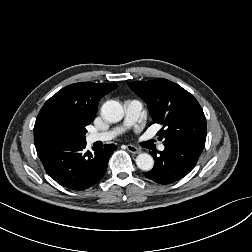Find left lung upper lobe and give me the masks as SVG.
<instances>
[{"label":"left lung upper lobe","instance_id":"1","mask_svg":"<svg viewBox=\"0 0 252 252\" xmlns=\"http://www.w3.org/2000/svg\"><path fill=\"white\" fill-rule=\"evenodd\" d=\"M128 86L147 103L153 119L150 125H163L158 134L165 146L193 144L204 148L206 118L191 93L164 78L130 82Z\"/></svg>","mask_w":252,"mask_h":252}]
</instances>
